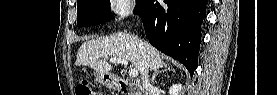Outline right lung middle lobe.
I'll use <instances>...</instances> for the list:
<instances>
[{
	"mask_svg": "<svg viewBox=\"0 0 277 95\" xmlns=\"http://www.w3.org/2000/svg\"><path fill=\"white\" fill-rule=\"evenodd\" d=\"M113 18L107 0H80L77 2L78 28L101 24Z\"/></svg>",
	"mask_w": 277,
	"mask_h": 95,
	"instance_id": "obj_1",
	"label": "right lung middle lobe"
}]
</instances>
